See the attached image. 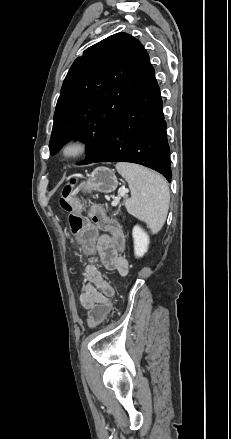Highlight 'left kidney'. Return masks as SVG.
Wrapping results in <instances>:
<instances>
[{
  "instance_id": "left-kidney-1",
  "label": "left kidney",
  "mask_w": 231,
  "mask_h": 439,
  "mask_svg": "<svg viewBox=\"0 0 231 439\" xmlns=\"http://www.w3.org/2000/svg\"><path fill=\"white\" fill-rule=\"evenodd\" d=\"M132 236L134 241V253L136 257H142L148 250L149 236L138 225L134 226L132 230Z\"/></svg>"
}]
</instances>
